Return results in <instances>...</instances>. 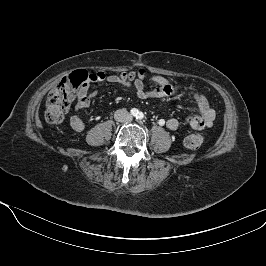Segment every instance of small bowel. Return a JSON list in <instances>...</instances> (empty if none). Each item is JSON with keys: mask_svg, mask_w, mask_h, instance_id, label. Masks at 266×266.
<instances>
[{"mask_svg": "<svg viewBox=\"0 0 266 266\" xmlns=\"http://www.w3.org/2000/svg\"><path fill=\"white\" fill-rule=\"evenodd\" d=\"M150 80L155 82L158 87L152 90H146L141 79L135 80L134 88L138 98L142 100L162 98L170 96L178 90H193V86L190 84L184 86L174 85L167 78L158 74L151 75ZM92 81L129 85V83L124 81L122 77L117 75H109L103 71L92 73ZM96 94L97 90L89 91L87 85L80 88L78 92V100L74 107L75 111L78 112L88 108L90 106L91 99ZM194 101L199 115L187 117L184 120V123L195 130H203L205 128L212 127L215 119V111L210 107L207 98L202 94L196 93L194 96ZM70 126L77 132H82L85 130V124L77 114L72 115L70 118ZM165 126L170 130H176L180 126V121L175 118H171L165 121Z\"/></svg>", "mask_w": 266, "mask_h": 266, "instance_id": "c3829d8e", "label": "small bowel"}]
</instances>
